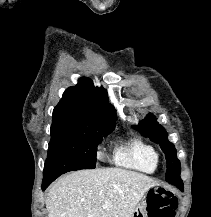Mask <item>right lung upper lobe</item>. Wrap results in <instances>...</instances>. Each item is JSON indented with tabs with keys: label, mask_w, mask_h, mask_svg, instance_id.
I'll list each match as a JSON object with an SVG mask.
<instances>
[{
	"label": "right lung upper lobe",
	"mask_w": 211,
	"mask_h": 217,
	"mask_svg": "<svg viewBox=\"0 0 211 217\" xmlns=\"http://www.w3.org/2000/svg\"><path fill=\"white\" fill-rule=\"evenodd\" d=\"M116 112L108 104L107 91L95 87L91 79L81 78L63 93L53 110V122L115 127Z\"/></svg>",
	"instance_id": "cb5924a9"
}]
</instances>
